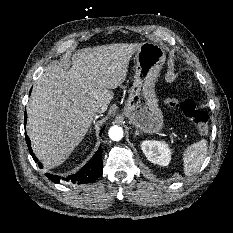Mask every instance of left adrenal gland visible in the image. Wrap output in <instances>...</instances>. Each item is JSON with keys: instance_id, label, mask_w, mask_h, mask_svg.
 <instances>
[{"instance_id": "1", "label": "left adrenal gland", "mask_w": 233, "mask_h": 233, "mask_svg": "<svg viewBox=\"0 0 233 233\" xmlns=\"http://www.w3.org/2000/svg\"><path fill=\"white\" fill-rule=\"evenodd\" d=\"M137 135H139V131L138 130H136V132H135V136H137Z\"/></svg>"}]
</instances>
